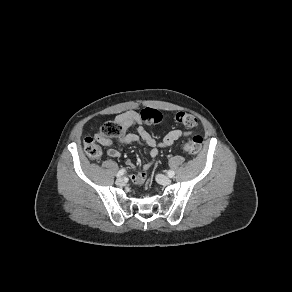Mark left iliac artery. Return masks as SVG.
Masks as SVG:
<instances>
[{"label": "left iliac artery", "mask_w": 292, "mask_h": 292, "mask_svg": "<svg viewBox=\"0 0 292 292\" xmlns=\"http://www.w3.org/2000/svg\"><path fill=\"white\" fill-rule=\"evenodd\" d=\"M167 175H168L170 178H172V177H174L175 172L172 171V170H169V171L167 172Z\"/></svg>", "instance_id": "1"}]
</instances>
